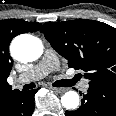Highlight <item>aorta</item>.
I'll use <instances>...</instances> for the list:
<instances>
[{"label": "aorta", "instance_id": "762f6f07", "mask_svg": "<svg viewBox=\"0 0 116 116\" xmlns=\"http://www.w3.org/2000/svg\"><path fill=\"white\" fill-rule=\"evenodd\" d=\"M12 56L21 62H31L37 60L43 53L41 40L29 34L17 36L11 43ZM61 103L67 110L77 109L80 103L79 95L76 91H68L61 97Z\"/></svg>", "mask_w": 116, "mask_h": 116}]
</instances>
